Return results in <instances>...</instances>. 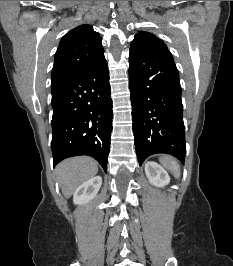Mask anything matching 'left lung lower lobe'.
Instances as JSON below:
<instances>
[{"label": "left lung lower lobe", "instance_id": "0a47b994", "mask_svg": "<svg viewBox=\"0 0 233 266\" xmlns=\"http://www.w3.org/2000/svg\"><path fill=\"white\" fill-rule=\"evenodd\" d=\"M129 86L139 164L155 153L185 159L179 73L170 52L130 48Z\"/></svg>", "mask_w": 233, "mask_h": 266}]
</instances>
